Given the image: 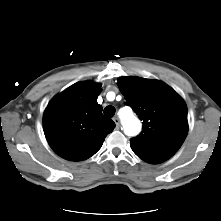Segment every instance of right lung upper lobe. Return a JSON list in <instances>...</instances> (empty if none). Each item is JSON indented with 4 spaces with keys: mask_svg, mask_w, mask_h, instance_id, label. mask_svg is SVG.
<instances>
[{
    "mask_svg": "<svg viewBox=\"0 0 221 221\" xmlns=\"http://www.w3.org/2000/svg\"><path fill=\"white\" fill-rule=\"evenodd\" d=\"M101 85L91 81L73 84L56 95L43 115V128L50 147L70 161L93 156L112 132L115 123L103 116L97 103Z\"/></svg>",
    "mask_w": 221,
    "mask_h": 221,
    "instance_id": "obj_1",
    "label": "right lung upper lobe"
}]
</instances>
